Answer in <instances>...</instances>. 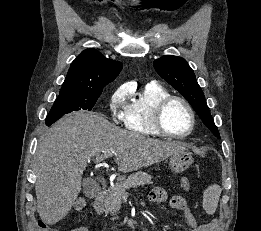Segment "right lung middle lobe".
Wrapping results in <instances>:
<instances>
[{
  "mask_svg": "<svg viewBox=\"0 0 261 231\" xmlns=\"http://www.w3.org/2000/svg\"><path fill=\"white\" fill-rule=\"evenodd\" d=\"M102 91H65L60 92L47 118L46 125L50 126L64 114L78 110H91Z\"/></svg>",
  "mask_w": 261,
  "mask_h": 231,
  "instance_id": "1",
  "label": "right lung middle lobe"
}]
</instances>
